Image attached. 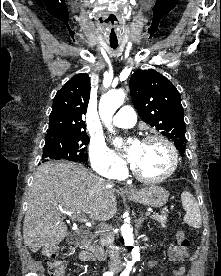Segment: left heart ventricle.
<instances>
[{"instance_id": "left-heart-ventricle-1", "label": "left heart ventricle", "mask_w": 221, "mask_h": 276, "mask_svg": "<svg viewBox=\"0 0 221 276\" xmlns=\"http://www.w3.org/2000/svg\"><path fill=\"white\" fill-rule=\"evenodd\" d=\"M171 158L167 147L159 140L140 143L135 167L146 176H158L166 172Z\"/></svg>"}]
</instances>
